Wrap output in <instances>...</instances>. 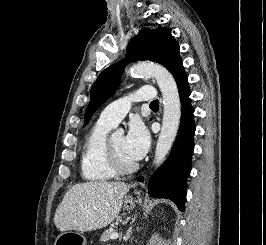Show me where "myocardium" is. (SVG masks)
I'll return each mask as SVG.
<instances>
[{"label":"myocardium","instance_id":"1","mask_svg":"<svg viewBox=\"0 0 266 245\" xmlns=\"http://www.w3.org/2000/svg\"><path fill=\"white\" fill-rule=\"evenodd\" d=\"M104 158L106 165L115 176L130 175L134 173L138 168V165L136 163L128 167H124L118 162L111 146V138L106 139L104 146Z\"/></svg>","mask_w":266,"mask_h":245}]
</instances>
